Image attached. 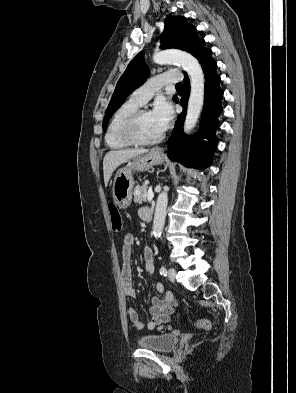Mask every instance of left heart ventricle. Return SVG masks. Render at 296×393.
Segmentation results:
<instances>
[{"mask_svg":"<svg viewBox=\"0 0 296 393\" xmlns=\"http://www.w3.org/2000/svg\"><path fill=\"white\" fill-rule=\"evenodd\" d=\"M162 132L157 127L151 112L143 114L138 126V134L142 139H152Z\"/></svg>","mask_w":296,"mask_h":393,"instance_id":"1","label":"left heart ventricle"}]
</instances>
